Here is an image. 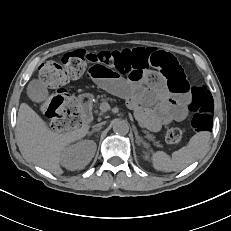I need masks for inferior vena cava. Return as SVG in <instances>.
<instances>
[{"instance_id": "obj_1", "label": "inferior vena cava", "mask_w": 231, "mask_h": 231, "mask_svg": "<svg viewBox=\"0 0 231 231\" xmlns=\"http://www.w3.org/2000/svg\"><path fill=\"white\" fill-rule=\"evenodd\" d=\"M104 123L102 122V123H98V124H96V125H94V127H101L102 125H103Z\"/></svg>"}]
</instances>
